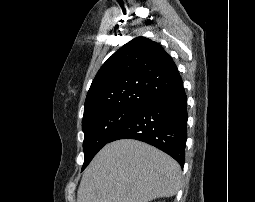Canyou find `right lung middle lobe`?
Returning a JSON list of instances; mask_svg holds the SVG:
<instances>
[{"label": "right lung middle lobe", "mask_w": 255, "mask_h": 202, "mask_svg": "<svg viewBox=\"0 0 255 202\" xmlns=\"http://www.w3.org/2000/svg\"><path fill=\"white\" fill-rule=\"evenodd\" d=\"M140 107H114L104 109L83 117L84 164L82 171L95 154L107 143L118 129L125 124Z\"/></svg>", "instance_id": "obj_1"}]
</instances>
